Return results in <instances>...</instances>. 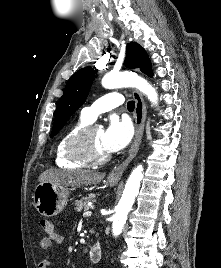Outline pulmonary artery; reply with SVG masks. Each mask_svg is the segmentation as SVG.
<instances>
[{"label": "pulmonary artery", "instance_id": "obj_1", "mask_svg": "<svg viewBox=\"0 0 221 268\" xmlns=\"http://www.w3.org/2000/svg\"><path fill=\"white\" fill-rule=\"evenodd\" d=\"M124 98L121 94L113 92L106 94L96 100L91 106L85 107L81 111V116L93 122L101 113L107 112L121 105Z\"/></svg>", "mask_w": 221, "mask_h": 268}]
</instances>
